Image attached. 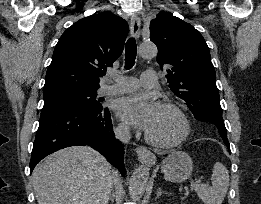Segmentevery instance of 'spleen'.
<instances>
[{
  "mask_svg": "<svg viewBox=\"0 0 261 204\" xmlns=\"http://www.w3.org/2000/svg\"><path fill=\"white\" fill-rule=\"evenodd\" d=\"M211 180L212 186L197 185L196 193L204 204H222L229 186V172L221 162L214 164Z\"/></svg>",
  "mask_w": 261,
  "mask_h": 204,
  "instance_id": "1",
  "label": "spleen"
}]
</instances>
